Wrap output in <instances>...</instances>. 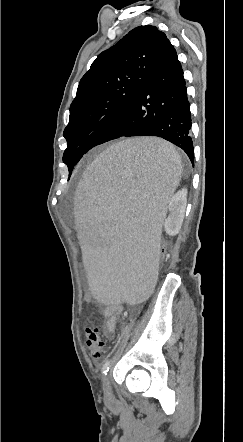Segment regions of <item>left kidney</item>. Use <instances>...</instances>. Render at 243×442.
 I'll use <instances>...</instances> for the list:
<instances>
[{
    "instance_id": "left-kidney-1",
    "label": "left kidney",
    "mask_w": 243,
    "mask_h": 442,
    "mask_svg": "<svg viewBox=\"0 0 243 442\" xmlns=\"http://www.w3.org/2000/svg\"><path fill=\"white\" fill-rule=\"evenodd\" d=\"M187 190L182 189L172 196L169 205V216L164 220V230L169 236H175L181 229L187 205Z\"/></svg>"
}]
</instances>
